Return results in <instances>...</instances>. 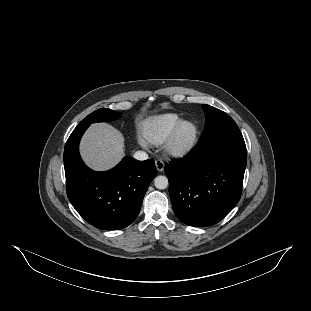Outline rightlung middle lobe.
<instances>
[{
	"mask_svg": "<svg viewBox=\"0 0 311 311\" xmlns=\"http://www.w3.org/2000/svg\"><path fill=\"white\" fill-rule=\"evenodd\" d=\"M121 117V113L102 108L94 111L93 113L89 114L85 119H83L78 126H89L95 122H103V121H112Z\"/></svg>",
	"mask_w": 311,
	"mask_h": 311,
	"instance_id": "dd1d6c3e",
	"label": "right lung middle lobe"
}]
</instances>
